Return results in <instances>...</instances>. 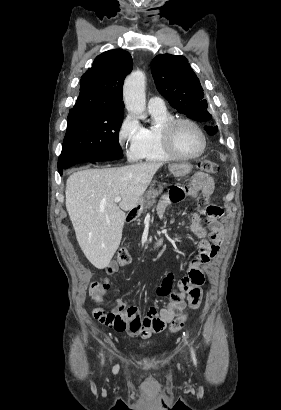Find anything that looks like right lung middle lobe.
I'll return each instance as SVG.
<instances>
[{
	"mask_svg": "<svg viewBox=\"0 0 281 410\" xmlns=\"http://www.w3.org/2000/svg\"><path fill=\"white\" fill-rule=\"evenodd\" d=\"M124 112L88 106L73 107L58 159V170L73 163L101 162L123 157L119 130Z\"/></svg>",
	"mask_w": 281,
	"mask_h": 410,
	"instance_id": "obj_1",
	"label": "right lung middle lobe"
}]
</instances>
